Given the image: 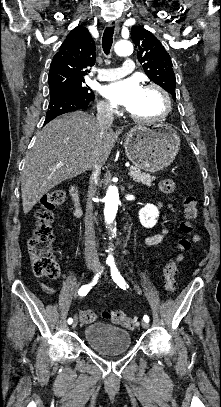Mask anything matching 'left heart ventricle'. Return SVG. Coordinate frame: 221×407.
Masks as SVG:
<instances>
[{
    "label": "left heart ventricle",
    "mask_w": 221,
    "mask_h": 407,
    "mask_svg": "<svg viewBox=\"0 0 221 407\" xmlns=\"http://www.w3.org/2000/svg\"><path fill=\"white\" fill-rule=\"evenodd\" d=\"M163 109V99L158 91L142 89L131 112L139 117H156L163 112Z\"/></svg>",
    "instance_id": "b2bd125f"
}]
</instances>
